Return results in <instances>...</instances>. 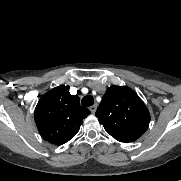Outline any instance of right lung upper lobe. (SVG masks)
Listing matches in <instances>:
<instances>
[{
    "label": "right lung upper lobe",
    "mask_w": 181,
    "mask_h": 181,
    "mask_svg": "<svg viewBox=\"0 0 181 181\" xmlns=\"http://www.w3.org/2000/svg\"><path fill=\"white\" fill-rule=\"evenodd\" d=\"M69 86L60 85L39 100L34 119L40 135L48 142L62 145L72 139L83 119L91 112L80 106V98L69 93Z\"/></svg>",
    "instance_id": "right-lung-upper-lobe-1"
}]
</instances>
